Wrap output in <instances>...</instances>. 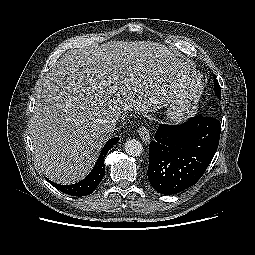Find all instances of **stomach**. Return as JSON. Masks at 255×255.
I'll return each mask as SVG.
<instances>
[{
  "label": "stomach",
  "instance_id": "0dacf381",
  "mask_svg": "<svg viewBox=\"0 0 255 255\" xmlns=\"http://www.w3.org/2000/svg\"><path fill=\"white\" fill-rule=\"evenodd\" d=\"M183 115L184 110L177 103H172L167 111V118L169 120H180Z\"/></svg>",
  "mask_w": 255,
  "mask_h": 255
}]
</instances>
